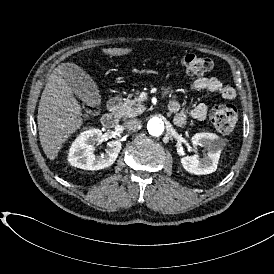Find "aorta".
<instances>
[{"label":"aorta","instance_id":"aorta-1","mask_svg":"<svg viewBox=\"0 0 274 274\" xmlns=\"http://www.w3.org/2000/svg\"><path fill=\"white\" fill-rule=\"evenodd\" d=\"M148 132L152 136H160L165 129L164 121L160 117H152L147 124Z\"/></svg>","mask_w":274,"mask_h":274}]
</instances>
